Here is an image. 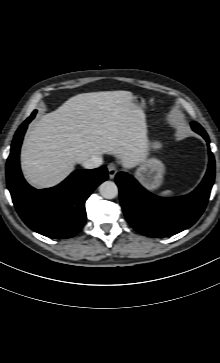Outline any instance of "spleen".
I'll return each mask as SVG.
<instances>
[{"label": "spleen", "mask_w": 220, "mask_h": 363, "mask_svg": "<svg viewBox=\"0 0 220 363\" xmlns=\"http://www.w3.org/2000/svg\"><path fill=\"white\" fill-rule=\"evenodd\" d=\"M171 194H173V191H171V190H166V191L162 192L160 195H161V196H169V195H171Z\"/></svg>", "instance_id": "3e777b00"}]
</instances>
